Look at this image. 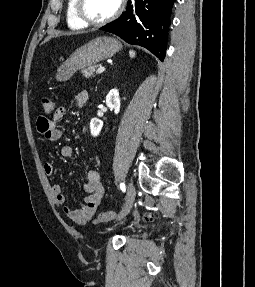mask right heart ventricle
<instances>
[{
    "label": "right heart ventricle",
    "mask_w": 255,
    "mask_h": 287,
    "mask_svg": "<svg viewBox=\"0 0 255 287\" xmlns=\"http://www.w3.org/2000/svg\"><path fill=\"white\" fill-rule=\"evenodd\" d=\"M88 39V38H87ZM84 48H97V47H84Z\"/></svg>",
    "instance_id": "right-heart-ventricle-1"
}]
</instances>
